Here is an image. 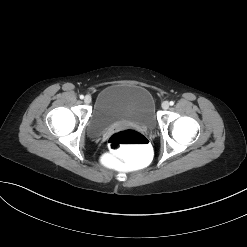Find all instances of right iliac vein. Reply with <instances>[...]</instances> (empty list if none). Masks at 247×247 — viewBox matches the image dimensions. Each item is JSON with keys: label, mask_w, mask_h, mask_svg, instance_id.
<instances>
[{"label": "right iliac vein", "mask_w": 247, "mask_h": 247, "mask_svg": "<svg viewBox=\"0 0 247 247\" xmlns=\"http://www.w3.org/2000/svg\"><path fill=\"white\" fill-rule=\"evenodd\" d=\"M84 102H85V104H90V103H91V96L86 95V96L84 97Z\"/></svg>", "instance_id": "right-iliac-vein-1"}]
</instances>
